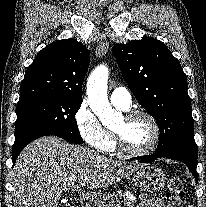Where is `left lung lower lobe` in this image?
Wrapping results in <instances>:
<instances>
[{"mask_svg": "<svg viewBox=\"0 0 206 207\" xmlns=\"http://www.w3.org/2000/svg\"><path fill=\"white\" fill-rule=\"evenodd\" d=\"M160 157H166L185 163L190 169V171L192 172L196 182H198V173L196 171L197 157H198L197 154L185 153V152L154 153L152 155L141 157V160L139 162L149 163V162H153L154 160Z\"/></svg>", "mask_w": 206, "mask_h": 207, "instance_id": "1", "label": "left lung lower lobe"}]
</instances>
